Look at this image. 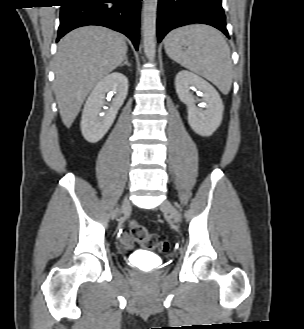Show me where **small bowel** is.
<instances>
[{"label": "small bowel", "instance_id": "c3829d8e", "mask_svg": "<svg viewBox=\"0 0 304 329\" xmlns=\"http://www.w3.org/2000/svg\"><path fill=\"white\" fill-rule=\"evenodd\" d=\"M121 243L127 249H131L133 247V243L127 234L121 235Z\"/></svg>", "mask_w": 304, "mask_h": 329}]
</instances>
